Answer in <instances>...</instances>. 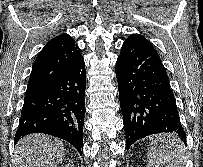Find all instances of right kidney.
<instances>
[{
	"label": "right kidney",
	"mask_w": 203,
	"mask_h": 167,
	"mask_svg": "<svg viewBox=\"0 0 203 167\" xmlns=\"http://www.w3.org/2000/svg\"><path fill=\"white\" fill-rule=\"evenodd\" d=\"M64 167H74V165L73 164H67L66 166H64Z\"/></svg>",
	"instance_id": "1"
}]
</instances>
